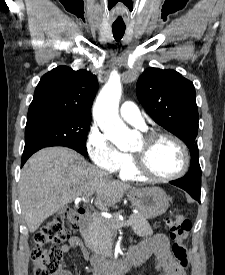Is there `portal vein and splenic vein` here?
<instances>
[{"mask_svg":"<svg viewBox=\"0 0 225 275\" xmlns=\"http://www.w3.org/2000/svg\"><path fill=\"white\" fill-rule=\"evenodd\" d=\"M80 200H81L80 198H77V199H76V201H80ZM131 223H132V220L129 219V220L123 222V225H124V226H127V225H130Z\"/></svg>","mask_w":225,"mask_h":275,"instance_id":"1","label":"portal vein and splenic vein"}]
</instances>
